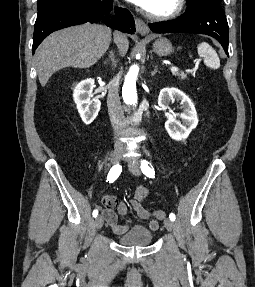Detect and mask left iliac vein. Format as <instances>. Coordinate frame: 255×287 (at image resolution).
<instances>
[{
    "mask_svg": "<svg viewBox=\"0 0 255 287\" xmlns=\"http://www.w3.org/2000/svg\"><path fill=\"white\" fill-rule=\"evenodd\" d=\"M129 170L134 174L139 176L141 174L140 165L136 161H130L128 163ZM164 226L168 231H172L174 228V223L171 219L167 218L164 220Z\"/></svg>",
    "mask_w": 255,
    "mask_h": 287,
    "instance_id": "1",
    "label": "left iliac vein"
}]
</instances>
